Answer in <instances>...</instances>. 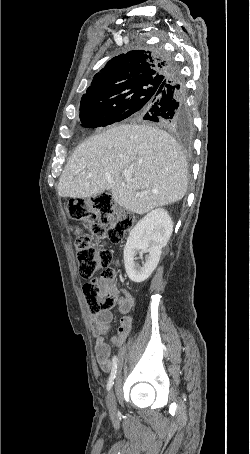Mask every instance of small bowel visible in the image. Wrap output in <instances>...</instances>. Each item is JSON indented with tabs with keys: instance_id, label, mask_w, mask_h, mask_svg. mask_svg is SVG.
Returning <instances> with one entry per match:
<instances>
[{
	"instance_id": "1",
	"label": "small bowel",
	"mask_w": 250,
	"mask_h": 454,
	"mask_svg": "<svg viewBox=\"0 0 250 454\" xmlns=\"http://www.w3.org/2000/svg\"><path fill=\"white\" fill-rule=\"evenodd\" d=\"M135 301L133 296L126 290H122L117 301L118 311L123 315L117 333L112 337L114 345L121 347L124 345L132 327L133 318L129 313L134 309ZM112 313L106 311L96 314L93 317L92 326L96 336L95 356L97 363L104 372L112 370L113 360L111 357V347L106 341Z\"/></svg>"
}]
</instances>
